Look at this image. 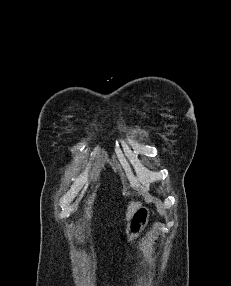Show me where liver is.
I'll use <instances>...</instances> for the list:
<instances>
[{
    "instance_id": "6515ba94",
    "label": "liver",
    "mask_w": 231,
    "mask_h": 286,
    "mask_svg": "<svg viewBox=\"0 0 231 286\" xmlns=\"http://www.w3.org/2000/svg\"><path fill=\"white\" fill-rule=\"evenodd\" d=\"M141 207L140 202H131L127 208L126 220L129 221L133 214Z\"/></svg>"
}]
</instances>
